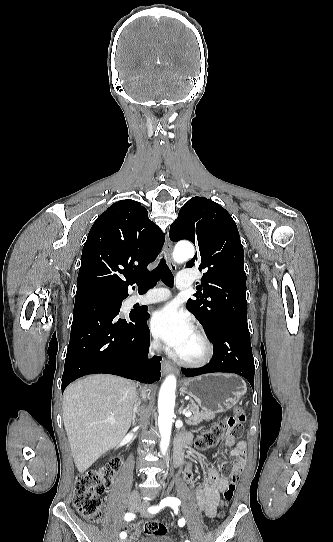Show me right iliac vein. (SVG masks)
Masks as SVG:
<instances>
[{
	"instance_id": "right-iliac-vein-1",
	"label": "right iliac vein",
	"mask_w": 333,
	"mask_h": 542,
	"mask_svg": "<svg viewBox=\"0 0 333 542\" xmlns=\"http://www.w3.org/2000/svg\"><path fill=\"white\" fill-rule=\"evenodd\" d=\"M130 500V502H129ZM128 502H129V510L130 511H136L137 509H139L140 507V498L138 496V494H133L130 498H129ZM122 542H129L128 539H125L124 541Z\"/></svg>"
}]
</instances>
